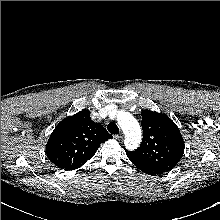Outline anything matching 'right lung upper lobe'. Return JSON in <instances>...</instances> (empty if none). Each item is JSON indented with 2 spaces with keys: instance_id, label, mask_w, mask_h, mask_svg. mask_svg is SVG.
Wrapping results in <instances>:
<instances>
[{
  "instance_id": "obj_1",
  "label": "right lung upper lobe",
  "mask_w": 220,
  "mask_h": 220,
  "mask_svg": "<svg viewBox=\"0 0 220 220\" xmlns=\"http://www.w3.org/2000/svg\"><path fill=\"white\" fill-rule=\"evenodd\" d=\"M110 138L112 135L100 123L91 120L90 111L83 109L55 127L46 145V155L61 169H77Z\"/></svg>"
}]
</instances>
